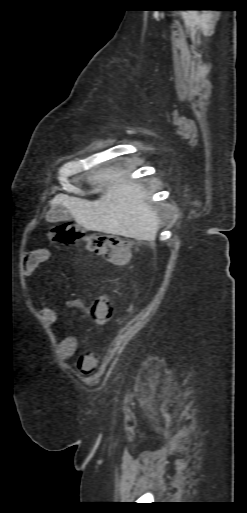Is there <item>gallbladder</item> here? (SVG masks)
<instances>
[{"instance_id": "bac80fb5", "label": "gallbladder", "mask_w": 247, "mask_h": 513, "mask_svg": "<svg viewBox=\"0 0 247 513\" xmlns=\"http://www.w3.org/2000/svg\"><path fill=\"white\" fill-rule=\"evenodd\" d=\"M50 222H62L72 219L70 212L62 205H58L49 212Z\"/></svg>"}]
</instances>
